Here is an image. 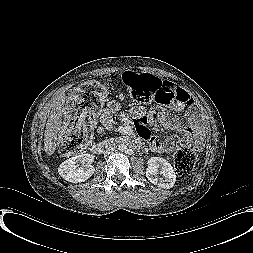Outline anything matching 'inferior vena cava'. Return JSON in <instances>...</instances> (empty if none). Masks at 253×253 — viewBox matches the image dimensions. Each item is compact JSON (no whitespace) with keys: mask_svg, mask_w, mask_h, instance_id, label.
<instances>
[{"mask_svg":"<svg viewBox=\"0 0 253 253\" xmlns=\"http://www.w3.org/2000/svg\"><path fill=\"white\" fill-rule=\"evenodd\" d=\"M115 151H116V148H115L114 146H110V147L108 148V152H109L110 154H113Z\"/></svg>","mask_w":253,"mask_h":253,"instance_id":"1","label":"inferior vena cava"}]
</instances>
